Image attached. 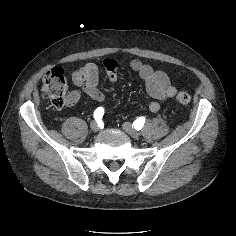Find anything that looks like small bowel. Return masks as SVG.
I'll use <instances>...</instances> for the list:
<instances>
[{
  "label": "small bowel",
  "instance_id": "obj_1",
  "mask_svg": "<svg viewBox=\"0 0 236 236\" xmlns=\"http://www.w3.org/2000/svg\"><path fill=\"white\" fill-rule=\"evenodd\" d=\"M104 65L108 70L109 82L113 84L116 81L117 62L113 59H106ZM128 65L145 82L147 93L154 99L148 106L151 112H157L160 109L158 101L172 98L175 95L176 89L165 72L156 70L150 65L142 63L139 59L130 60ZM71 79L80 88V91H73L69 95V106L77 103L81 93L86 94L95 101H104V95L98 89L99 69L95 63L85 64L72 73Z\"/></svg>",
  "mask_w": 236,
  "mask_h": 236
}]
</instances>
